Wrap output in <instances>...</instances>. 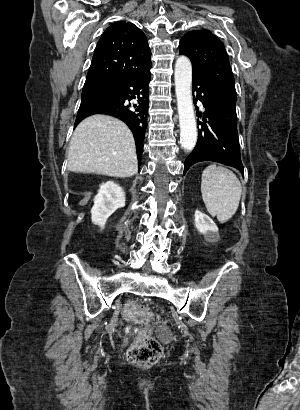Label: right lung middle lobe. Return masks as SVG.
<instances>
[{
	"label": "right lung middle lobe",
	"instance_id": "1",
	"mask_svg": "<svg viewBox=\"0 0 300 410\" xmlns=\"http://www.w3.org/2000/svg\"><path fill=\"white\" fill-rule=\"evenodd\" d=\"M106 84L97 83V82H85L82 93L97 89L99 87L105 86Z\"/></svg>",
	"mask_w": 300,
	"mask_h": 410
}]
</instances>
